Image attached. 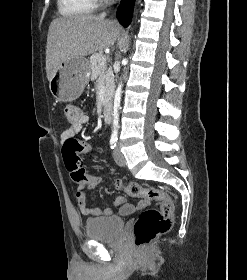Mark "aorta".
<instances>
[{"mask_svg": "<svg viewBox=\"0 0 247 280\" xmlns=\"http://www.w3.org/2000/svg\"><path fill=\"white\" fill-rule=\"evenodd\" d=\"M126 61V59L124 60ZM121 92H122V84L118 85V88L115 92L114 96V106H113V135H117L118 127H119V109L121 102Z\"/></svg>", "mask_w": 247, "mask_h": 280, "instance_id": "1", "label": "aorta"}]
</instances>
